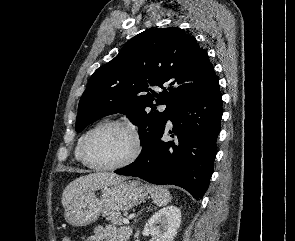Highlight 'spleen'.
<instances>
[{
	"mask_svg": "<svg viewBox=\"0 0 295 241\" xmlns=\"http://www.w3.org/2000/svg\"><path fill=\"white\" fill-rule=\"evenodd\" d=\"M146 190L151 195L154 203L158 206H164L167 205L171 201V195L170 192L161 187V186H153L146 184L145 185Z\"/></svg>",
	"mask_w": 295,
	"mask_h": 241,
	"instance_id": "1",
	"label": "spleen"
}]
</instances>
